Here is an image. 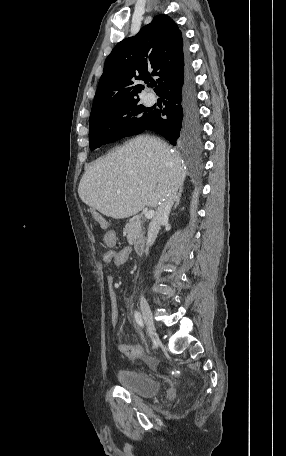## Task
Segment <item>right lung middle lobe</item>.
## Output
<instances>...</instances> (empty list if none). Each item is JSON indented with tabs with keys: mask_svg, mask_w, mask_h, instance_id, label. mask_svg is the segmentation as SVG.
<instances>
[{
	"mask_svg": "<svg viewBox=\"0 0 286 456\" xmlns=\"http://www.w3.org/2000/svg\"><path fill=\"white\" fill-rule=\"evenodd\" d=\"M152 115L153 111L139 103L118 106L103 112L89 122L90 149L94 150L122 137L143 132L147 129ZM188 129L195 130L196 134L192 138L180 142V145L194 142L198 138L200 133L198 124L192 125Z\"/></svg>",
	"mask_w": 286,
	"mask_h": 456,
	"instance_id": "dd1d6c3e",
	"label": "right lung middle lobe"
}]
</instances>
